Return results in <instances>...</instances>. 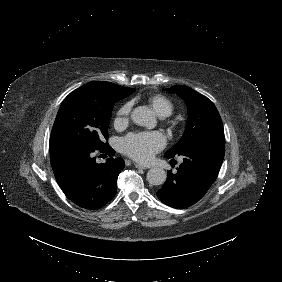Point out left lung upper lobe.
Returning a JSON list of instances; mask_svg holds the SVG:
<instances>
[{"mask_svg": "<svg viewBox=\"0 0 282 282\" xmlns=\"http://www.w3.org/2000/svg\"><path fill=\"white\" fill-rule=\"evenodd\" d=\"M167 91L176 93L186 102L188 119L181 140L165 153L166 156L179 155L198 142L224 140L222 120L213 102L183 85L173 86Z\"/></svg>", "mask_w": 282, "mask_h": 282, "instance_id": "1", "label": "left lung upper lobe"}]
</instances>
